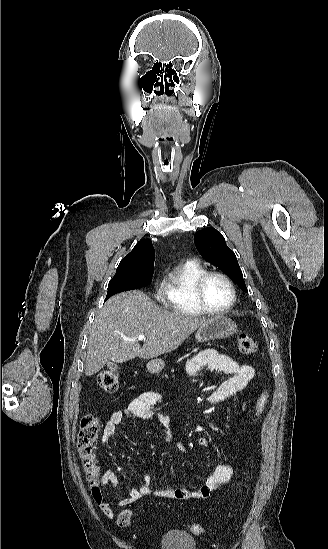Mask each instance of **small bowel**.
Segmentation results:
<instances>
[{"instance_id":"1","label":"small bowel","mask_w":328,"mask_h":549,"mask_svg":"<svg viewBox=\"0 0 328 549\" xmlns=\"http://www.w3.org/2000/svg\"><path fill=\"white\" fill-rule=\"evenodd\" d=\"M219 371L229 375V378L222 382L214 391L210 393L208 403L216 406L226 400L228 397L244 390L253 380L255 375L254 368L249 364H240L228 355L217 352L213 349L204 350L186 363V372L190 376L197 375L201 370ZM161 400V394L157 391H146L134 398L125 408L119 409L111 414L105 423L102 433V442H107L112 438L117 427L127 418H137L142 420H155L161 423L165 428V441H170L172 430L167 416L156 408ZM197 445L202 448L209 447V441L205 437L197 440ZM181 453L186 454L183 444L178 443ZM233 477V468L226 463H218L208 475L205 483L193 490L186 488H159L157 494L176 500H197L206 499L212 493L218 491L224 484L228 483ZM155 479L151 473L143 475V484L139 488H133L128 495L119 500V506L130 505L140 498L153 493L152 485ZM118 477L114 470L106 471L101 478V486L116 487ZM101 510L109 517L113 516V508L106 500L98 502Z\"/></svg>"}]
</instances>
